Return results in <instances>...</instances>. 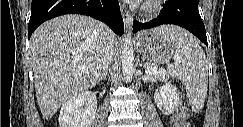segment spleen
Instances as JSON below:
<instances>
[{
	"label": "spleen",
	"instance_id": "3e777b00",
	"mask_svg": "<svg viewBox=\"0 0 243 127\" xmlns=\"http://www.w3.org/2000/svg\"><path fill=\"white\" fill-rule=\"evenodd\" d=\"M164 33L174 46V63L168 64L172 76L181 80L192 108L202 109L208 88V62L197 40L187 31L167 26Z\"/></svg>",
	"mask_w": 243,
	"mask_h": 127
}]
</instances>
